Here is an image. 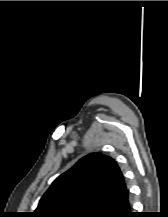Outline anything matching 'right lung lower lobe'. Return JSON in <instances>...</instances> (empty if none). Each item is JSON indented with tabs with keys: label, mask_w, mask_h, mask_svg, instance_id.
Here are the masks:
<instances>
[{
	"label": "right lung lower lobe",
	"mask_w": 168,
	"mask_h": 217,
	"mask_svg": "<svg viewBox=\"0 0 168 217\" xmlns=\"http://www.w3.org/2000/svg\"><path fill=\"white\" fill-rule=\"evenodd\" d=\"M104 217H138V215L131 211L130 202L127 201L125 204L116 208L114 211L110 212Z\"/></svg>",
	"instance_id": "1"
}]
</instances>
